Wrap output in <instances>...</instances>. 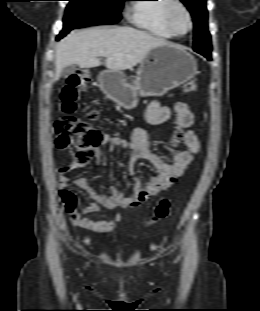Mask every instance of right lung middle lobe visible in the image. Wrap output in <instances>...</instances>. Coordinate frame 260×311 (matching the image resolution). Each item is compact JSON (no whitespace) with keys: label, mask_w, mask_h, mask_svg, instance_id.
I'll list each match as a JSON object with an SVG mask.
<instances>
[{"label":"right lung middle lobe","mask_w":260,"mask_h":311,"mask_svg":"<svg viewBox=\"0 0 260 311\" xmlns=\"http://www.w3.org/2000/svg\"><path fill=\"white\" fill-rule=\"evenodd\" d=\"M69 4L61 32L91 25L113 24L121 19V9L127 0H67Z\"/></svg>","instance_id":"dd1d6c3e"}]
</instances>
